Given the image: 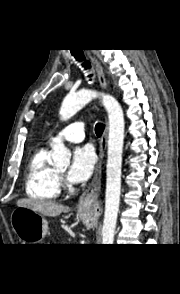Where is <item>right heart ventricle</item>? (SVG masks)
I'll return each mask as SVG.
<instances>
[{"mask_svg":"<svg viewBox=\"0 0 180 294\" xmlns=\"http://www.w3.org/2000/svg\"><path fill=\"white\" fill-rule=\"evenodd\" d=\"M47 147L37 149L28 164L25 190L28 196L38 200H54L58 197L59 178L56 170L48 164Z\"/></svg>","mask_w":180,"mask_h":294,"instance_id":"obj_1","label":"right heart ventricle"}]
</instances>
